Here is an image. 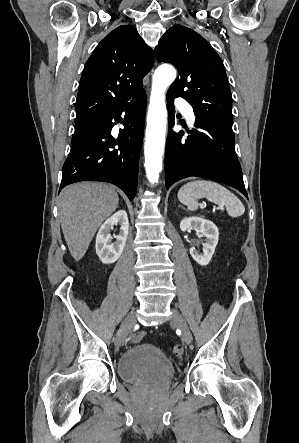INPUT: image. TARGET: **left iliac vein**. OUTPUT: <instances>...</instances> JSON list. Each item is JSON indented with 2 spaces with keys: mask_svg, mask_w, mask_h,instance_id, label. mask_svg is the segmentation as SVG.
<instances>
[{
  "mask_svg": "<svg viewBox=\"0 0 299 443\" xmlns=\"http://www.w3.org/2000/svg\"><path fill=\"white\" fill-rule=\"evenodd\" d=\"M171 323H173L177 328H179L182 332V339L187 345H190L192 343V335L188 328V325L183 318V316L179 313L178 310L173 309L172 310V316L170 319Z\"/></svg>",
  "mask_w": 299,
  "mask_h": 443,
  "instance_id": "1",
  "label": "left iliac vein"
}]
</instances>
